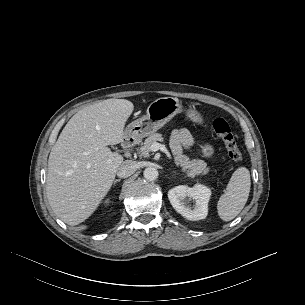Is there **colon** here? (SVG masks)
<instances>
[{"instance_id":"obj_1","label":"colon","mask_w":305,"mask_h":305,"mask_svg":"<svg viewBox=\"0 0 305 305\" xmlns=\"http://www.w3.org/2000/svg\"><path fill=\"white\" fill-rule=\"evenodd\" d=\"M212 126L217 136L224 142L229 157L234 161H240L242 154L237 146L235 136L228 122L223 118H216L213 121Z\"/></svg>"}]
</instances>
